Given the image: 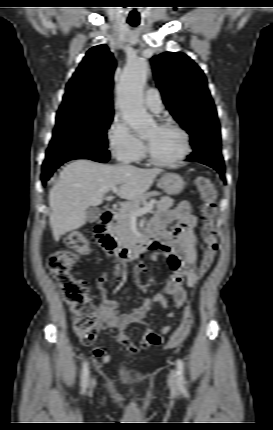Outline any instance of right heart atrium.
I'll list each match as a JSON object with an SVG mask.
<instances>
[{"label":"right heart atrium","mask_w":273,"mask_h":430,"mask_svg":"<svg viewBox=\"0 0 273 430\" xmlns=\"http://www.w3.org/2000/svg\"><path fill=\"white\" fill-rule=\"evenodd\" d=\"M107 139L111 153L120 162H134L144 152L142 140L119 116H115L109 125Z\"/></svg>","instance_id":"1"}]
</instances>
